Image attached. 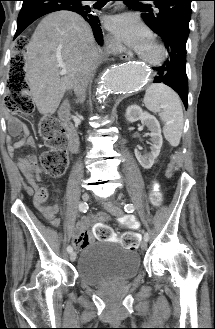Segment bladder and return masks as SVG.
<instances>
[{"instance_id": "obj_1", "label": "bladder", "mask_w": 215, "mask_h": 329, "mask_svg": "<svg viewBox=\"0 0 215 329\" xmlns=\"http://www.w3.org/2000/svg\"><path fill=\"white\" fill-rule=\"evenodd\" d=\"M140 272L139 254L110 240H98L82 249L77 277L89 286L127 281Z\"/></svg>"}]
</instances>
